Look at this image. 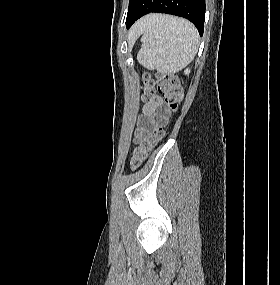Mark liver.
<instances>
[{"label": "liver", "instance_id": "1", "mask_svg": "<svg viewBox=\"0 0 280 285\" xmlns=\"http://www.w3.org/2000/svg\"><path fill=\"white\" fill-rule=\"evenodd\" d=\"M149 17H150V16L145 17L144 19H142V20L138 23V25L136 26V28L134 29V31H137V30L144 24V22H145Z\"/></svg>", "mask_w": 280, "mask_h": 285}]
</instances>
